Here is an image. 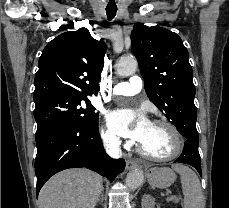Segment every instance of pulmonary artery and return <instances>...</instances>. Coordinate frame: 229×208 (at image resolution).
<instances>
[{
	"instance_id": "1",
	"label": "pulmonary artery",
	"mask_w": 229,
	"mask_h": 208,
	"mask_svg": "<svg viewBox=\"0 0 229 208\" xmlns=\"http://www.w3.org/2000/svg\"><path fill=\"white\" fill-rule=\"evenodd\" d=\"M143 81L140 76L133 75L126 81H121L113 88V95L132 96L141 91Z\"/></svg>"
}]
</instances>
